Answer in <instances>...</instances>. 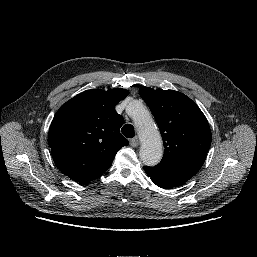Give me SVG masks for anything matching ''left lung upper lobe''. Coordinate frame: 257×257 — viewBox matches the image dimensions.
Listing matches in <instances>:
<instances>
[{"mask_svg": "<svg viewBox=\"0 0 257 257\" xmlns=\"http://www.w3.org/2000/svg\"><path fill=\"white\" fill-rule=\"evenodd\" d=\"M159 126L164 155L157 168L193 177L202 167L211 144L208 121L189 97L174 90L139 89Z\"/></svg>", "mask_w": 257, "mask_h": 257, "instance_id": "left-lung-upper-lobe-1", "label": "left lung upper lobe"}]
</instances>
